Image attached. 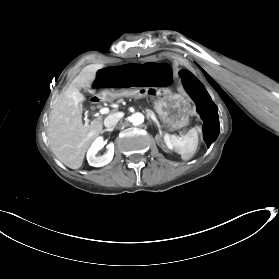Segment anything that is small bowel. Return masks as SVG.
I'll list each match as a JSON object with an SVG mask.
<instances>
[{
    "mask_svg": "<svg viewBox=\"0 0 279 279\" xmlns=\"http://www.w3.org/2000/svg\"><path fill=\"white\" fill-rule=\"evenodd\" d=\"M165 77H158V82L156 83L159 86H165L171 83L172 75L170 70L166 71Z\"/></svg>",
    "mask_w": 279,
    "mask_h": 279,
    "instance_id": "1",
    "label": "small bowel"
}]
</instances>
